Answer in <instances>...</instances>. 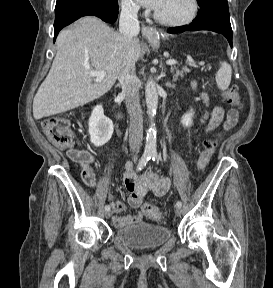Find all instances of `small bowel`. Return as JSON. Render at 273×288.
I'll use <instances>...</instances> for the list:
<instances>
[{
    "label": "small bowel",
    "instance_id": "small-bowel-1",
    "mask_svg": "<svg viewBox=\"0 0 273 288\" xmlns=\"http://www.w3.org/2000/svg\"><path fill=\"white\" fill-rule=\"evenodd\" d=\"M195 88V83H192ZM201 100L210 107V99L207 93H201ZM238 111L234 108L227 110L221 106H214L209 108L203 115L201 122L206 125L205 132L209 133L221 126L228 131L235 127L238 122ZM69 158L76 162L81 168V178L88 187L96 186V178L93 165L96 162V156L91 152L78 147L68 151ZM124 184L130 195L128 204L131 208L136 209L137 212L126 216H114L113 224L116 227H124L132 224L142 222L144 212L141 210L143 198L147 193H152L156 197H162L170 189L171 182L168 177L159 176L151 172H146L137 176L133 172V163L128 161L126 163V173L124 176ZM111 207L114 213H121L125 209V205L117 200L111 201Z\"/></svg>",
    "mask_w": 273,
    "mask_h": 288
}]
</instances>
